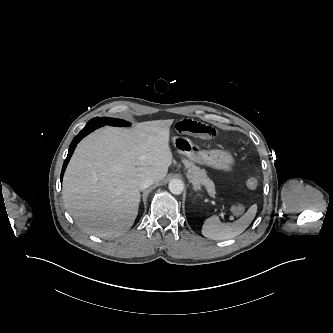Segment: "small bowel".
<instances>
[{
    "label": "small bowel",
    "instance_id": "1",
    "mask_svg": "<svg viewBox=\"0 0 333 333\" xmlns=\"http://www.w3.org/2000/svg\"><path fill=\"white\" fill-rule=\"evenodd\" d=\"M173 128L179 134L189 135L200 139H212L217 135V130L205 123L194 119H182L174 123Z\"/></svg>",
    "mask_w": 333,
    "mask_h": 333
}]
</instances>
